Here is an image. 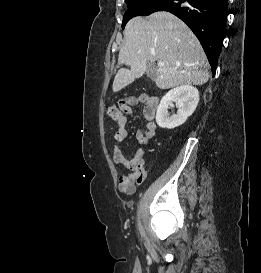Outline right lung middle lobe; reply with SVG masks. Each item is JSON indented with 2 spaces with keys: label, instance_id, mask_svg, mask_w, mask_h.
Returning <instances> with one entry per match:
<instances>
[{
  "label": "right lung middle lobe",
  "instance_id": "1",
  "mask_svg": "<svg viewBox=\"0 0 261 273\" xmlns=\"http://www.w3.org/2000/svg\"><path fill=\"white\" fill-rule=\"evenodd\" d=\"M153 0H126L129 9L126 11L123 17L122 28L124 29L126 23L133 17L139 16V8L144 4L150 3Z\"/></svg>",
  "mask_w": 261,
  "mask_h": 273
}]
</instances>
